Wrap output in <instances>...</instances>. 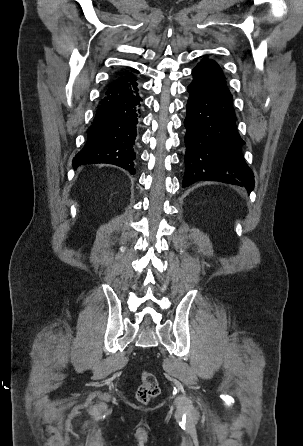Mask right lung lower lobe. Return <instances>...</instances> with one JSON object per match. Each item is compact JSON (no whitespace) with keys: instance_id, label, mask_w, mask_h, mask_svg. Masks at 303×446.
Returning a JSON list of instances; mask_svg holds the SVG:
<instances>
[{"instance_id":"obj_1","label":"right lung lower lobe","mask_w":303,"mask_h":446,"mask_svg":"<svg viewBox=\"0 0 303 446\" xmlns=\"http://www.w3.org/2000/svg\"><path fill=\"white\" fill-rule=\"evenodd\" d=\"M141 101L136 77L112 82L100 100L87 142L74 157L73 167L108 163L134 174V141Z\"/></svg>"}]
</instances>
